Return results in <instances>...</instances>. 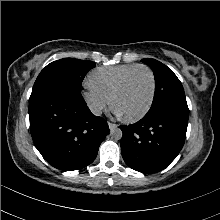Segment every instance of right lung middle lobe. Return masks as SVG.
<instances>
[{"label": "right lung middle lobe", "instance_id": "obj_1", "mask_svg": "<svg viewBox=\"0 0 220 220\" xmlns=\"http://www.w3.org/2000/svg\"><path fill=\"white\" fill-rule=\"evenodd\" d=\"M95 64L91 61L64 58L48 64L37 77L33 89L63 87L80 92L85 75Z\"/></svg>", "mask_w": 220, "mask_h": 220}]
</instances>
